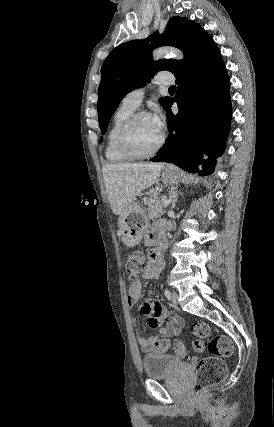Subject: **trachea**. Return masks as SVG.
Returning a JSON list of instances; mask_svg holds the SVG:
<instances>
[{
    "label": "trachea",
    "mask_w": 274,
    "mask_h": 427,
    "mask_svg": "<svg viewBox=\"0 0 274 427\" xmlns=\"http://www.w3.org/2000/svg\"><path fill=\"white\" fill-rule=\"evenodd\" d=\"M169 90H176V86L172 85L171 87H169Z\"/></svg>",
    "instance_id": "trachea-1"
}]
</instances>
